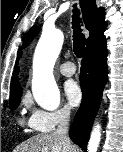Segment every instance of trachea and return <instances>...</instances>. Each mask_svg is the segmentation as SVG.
<instances>
[{
    "mask_svg": "<svg viewBox=\"0 0 123 152\" xmlns=\"http://www.w3.org/2000/svg\"><path fill=\"white\" fill-rule=\"evenodd\" d=\"M80 18H79V13L78 9L73 10V48H74V53L78 58H81L84 53V48H85V38L83 37V34L81 33L80 29Z\"/></svg>",
    "mask_w": 123,
    "mask_h": 152,
    "instance_id": "trachea-1",
    "label": "trachea"
}]
</instances>
